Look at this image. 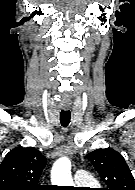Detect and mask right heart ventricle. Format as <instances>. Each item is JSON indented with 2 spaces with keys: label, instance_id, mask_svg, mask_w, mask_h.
<instances>
[{
  "label": "right heart ventricle",
  "instance_id": "1",
  "mask_svg": "<svg viewBox=\"0 0 135 190\" xmlns=\"http://www.w3.org/2000/svg\"><path fill=\"white\" fill-rule=\"evenodd\" d=\"M92 185H96V183L94 182Z\"/></svg>",
  "mask_w": 135,
  "mask_h": 190
}]
</instances>
